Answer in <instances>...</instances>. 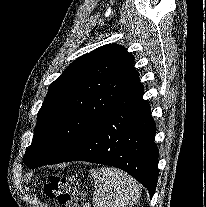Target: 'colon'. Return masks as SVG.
Instances as JSON below:
<instances>
[{
    "label": "colon",
    "mask_w": 206,
    "mask_h": 207,
    "mask_svg": "<svg viewBox=\"0 0 206 207\" xmlns=\"http://www.w3.org/2000/svg\"><path fill=\"white\" fill-rule=\"evenodd\" d=\"M45 192L48 197L56 198L61 207H82L84 193L72 177L50 175Z\"/></svg>",
    "instance_id": "1"
}]
</instances>
